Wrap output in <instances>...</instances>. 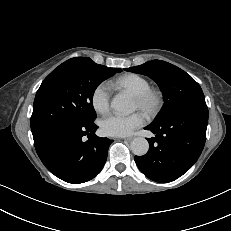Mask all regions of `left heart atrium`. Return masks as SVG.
<instances>
[{"label": "left heart atrium", "instance_id": "1", "mask_svg": "<svg viewBox=\"0 0 231 231\" xmlns=\"http://www.w3.org/2000/svg\"><path fill=\"white\" fill-rule=\"evenodd\" d=\"M144 121V116L138 112L131 115L110 114L101 121V130L107 136H128Z\"/></svg>", "mask_w": 231, "mask_h": 231}]
</instances>
